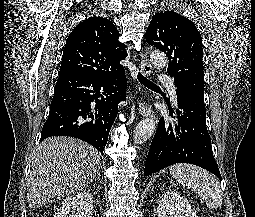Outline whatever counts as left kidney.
Returning a JSON list of instances; mask_svg holds the SVG:
<instances>
[{"label":"left kidney","instance_id":"obj_1","mask_svg":"<svg viewBox=\"0 0 255 217\" xmlns=\"http://www.w3.org/2000/svg\"><path fill=\"white\" fill-rule=\"evenodd\" d=\"M158 217H197L187 199L175 190H167L158 205Z\"/></svg>","mask_w":255,"mask_h":217}]
</instances>
